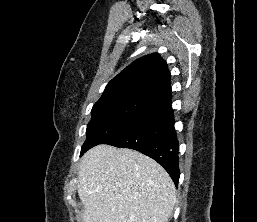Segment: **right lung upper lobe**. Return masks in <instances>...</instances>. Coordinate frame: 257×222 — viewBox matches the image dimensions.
<instances>
[{"label": "right lung upper lobe", "mask_w": 257, "mask_h": 222, "mask_svg": "<svg viewBox=\"0 0 257 222\" xmlns=\"http://www.w3.org/2000/svg\"><path fill=\"white\" fill-rule=\"evenodd\" d=\"M170 77L166 62L158 53H152L135 60L115 76L99 100L143 99L163 108L171 103Z\"/></svg>", "instance_id": "cb5924a9"}]
</instances>
